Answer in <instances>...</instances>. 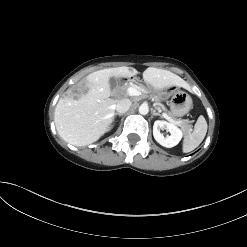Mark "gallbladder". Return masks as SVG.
Listing matches in <instances>:
<instances>
[{
  "mask_svg": "<svg viewBox=\"0 0 247 247\" xmlns=\"http://www.w3.org/2000/svg\"><path fill=\"white\" fill-rule=\"evenodd\" d=\"M109 84L112 89L116 88L118 85V80L115 77L109 78Z\"/></svg>",
  "mask_w": 247,
  "mask_h": 247,
  "instance_id": "1",
  "label": "gallbladder"
}]
</instances>
